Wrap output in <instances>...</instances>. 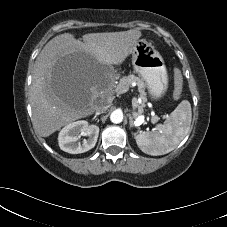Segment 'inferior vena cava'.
I'll list each match as a JSON object with an SVG mask.
<instances>
[{"mask_svg": "<svg viewBox=\"0 0 227 227\" xmlns=\"http://www.w3.org/2000/svg\"><path fill=\"white\" fill-rule=\"evenodd\" d=\"M108 106L105 103L95 104L94 110L96 114L104 113L107 110Z\"/></svg>", "mask_w": 227, "mask_h": 227, "instance_id": "obj_1", "label": "inferior vena cava"}]
</instances>
